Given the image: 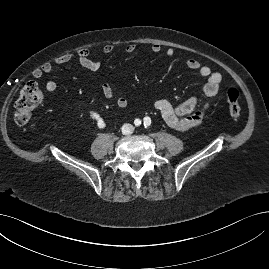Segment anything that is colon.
Wrapping results in <instances>:
<instances>
[{
	"instance_id": "5ec220e1",
	"label": "colon",
	"mask_w": 269,
	"mask_h": 269,
	"mask_svg": "<svg viewBox=\"0 0 269 269\" xmlns=\"http://www.w3.org/2000/svg\"><path fill=\"white\" fill-rule=\"evenodd\" d=\"M44 100V94L34 81L25 83L19 90L14 103V122L18 126H25L31 120L32 112L39 107ZM228 112L234 119L239 118L241 107L239 105V92L234 87L226 90Z\"/></svg>"
}]
</instances>
